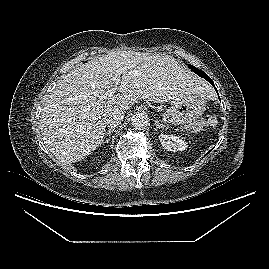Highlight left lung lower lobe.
Here are the masks:
<instances>
[{
	"label": "left lung lower lobe",
	"instance_id": "0a47b994",
	"mask_svg": "<svg viewBox=\"0 0 269 269\" xmlns=\"http://www.w3.org/2000/svg\"><path fill=\"white\" fill-rule=\"evenodd\" d=\"M193 71V70H192ZM197 75H199V76H201L202 78H204V79H206L208 82H210L213 86H214V88H215V85H214V83H213V81L211 80V78L207 75V74H205L202 70H199L198 68L194 71ZM215 90L217 91V89L215 88ZM210 152V151H209ZM208 152V153H209Z\"/></svg>",
	"mask_w": 269,
	"mask_h": 269
}]
</instances>
